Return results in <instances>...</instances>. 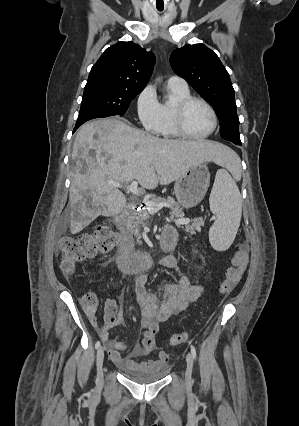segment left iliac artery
<instances>
[{
  "label": "left iliac artery",
  "instance_id": "1",
  "mask_svg": "<svg viewBox=\"0 0 299 426\" xmlns=\"http://www.w3.org/2000/svg\"><path fill=\"white\" fill-rule=\"evenodd\" d=\"M191 353L194 359H196V349L194 346H191Z\"/></svg>",
  "mask_w": 299,
  "mask_h": 426
}]
</instances>
